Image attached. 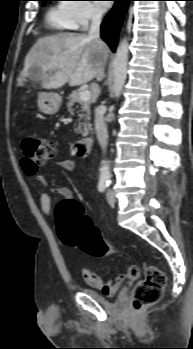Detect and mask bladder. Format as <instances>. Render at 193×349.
Returning a JSON list of instances; mask_svg holds the SVG:
<instances>
[{
  "label": "bladder",
  "mask_w": 193,
  "mask_h": 349,
  "mask_svg": "<svg viewBox=\"0 0 193 349\" xmlns=\"http://www.w3.org/2000/svg\"><path fill=\"white\" fill-rule=\"evenodd\" d=\"M84 291L98 303L102 305H110V301L108 300V298L104 296L100 291L88 287L84 288ZM123 297V293H120L117 298L121 299Z\"/></svg>",
  "instance_id": "bladder-1"
}]
</instances>
